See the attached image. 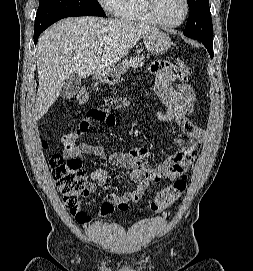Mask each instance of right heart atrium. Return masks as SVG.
<instances>
[{"mask_svg": "<svg viewBox=\"0 0 253 271\" xmlns=\"http://www.w3.org/2000/svg\"><path fill=\"white\" fill-rule=\"evenodd\" d=\"M102 7L108 12H114L119 0H98Z\"/></svg>", "mask_w": 253, "mask_h": 271, "instance_id": "1", "label": "right heart atrium"}]
</instances>
